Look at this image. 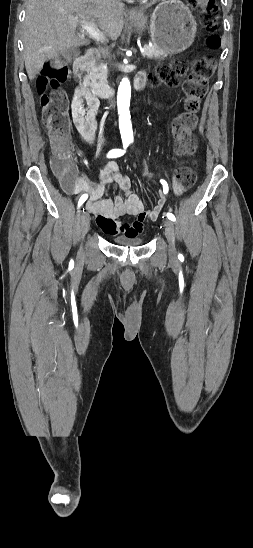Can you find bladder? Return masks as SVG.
Segmentation results:
<instances>
[{"instance_id": "31cf9c89", "label": "bladder", "mask_w": 253, "mask_h": 548, "mask_svg": "<svg viewBox=\"0 0 253 548\" xmlns=\"http://www.w3.org/2000/svg\"><path fill=\"white\" fill-rule=\"evenodd\" d=\"M113 241L122 246H141L144 243V239L141 236H128V235H119L113 238Z\"/></svg>"}]
</instances>
